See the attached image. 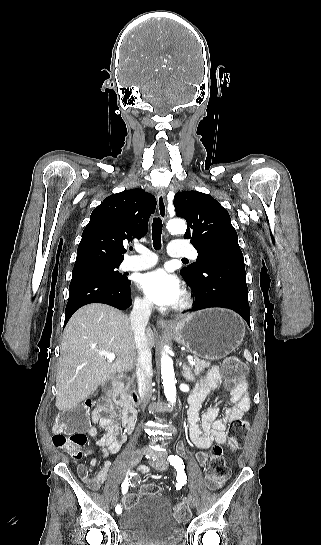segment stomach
Listing matches in <instances>:
<instances>
[{"instance_id": "0dacf381", "label": "stomach", "mask_w": 321, "mask_h": 545, "mask_svg": "<svg viewBox=\"0 0 321 545\" xmlns=\"http://www.w3.org/2000/svg\"><path fill=\"white\" fill-rule=\"evenodd\" d=\"M173 333L175 341L194 357L223 359L241 345L245 325L228 309H204L177 321Z\"/></svg>"}]
</instances>
